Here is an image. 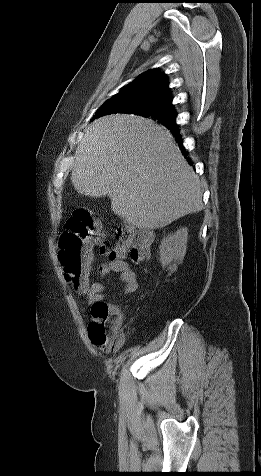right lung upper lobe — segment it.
I'll use <instances>...</instances> for the list:
<instances>
[{
	"mask_svg": "<svg viewBox=\"0 0 261 476\" xmlns=\"http://www.w3.org/2000/svg\"><path fill=\"white\" fill-rule=\"evenodd\" d=\"M123 103L158 101L172 106L167 78L156 69L148 71L126 85L117 95Z\"/></svg>",
	"mask_w": 261,
	"mask_h": 476,
	"instance_id": "obj_1",
	"label": "right lung upper lobe"
}]
</instances>
